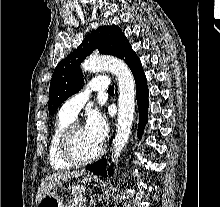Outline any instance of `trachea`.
Masks as SVG:
<instances>
[{
    "instance_id": "trachea-1",
    "label": "trachea",
    "mask_w": 220,
    "mask_h": 207,
    "mask_svg": "<svg viewBox=\"0 0 220 207\" xmlns=\"http://www.w3.org/2000/svg\"><path fill=\"white\" fill-rule=\"evenodd\" d=\"M108 92H114V86H110V87L108 88Z\"/></svg>"
}]
</instances>
